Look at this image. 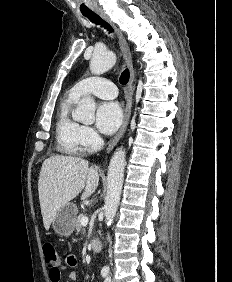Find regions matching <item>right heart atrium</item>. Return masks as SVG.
Instances as JSON below:
<instances>
[{
    "label": "right heart atrium",
    "instance_id": "1",
    "mask_svg": "<svg viewBox=\"0 0 232 282\" xmlns=\"http://www.w3.org/2000/svg\"><path fill=\"white\" fill-rule=\"evenodd\" d=\"M80 142L84 150L90 151L99 145L100 137L92 127L81 126Z\"/></svg>",
    "mask_w": 232,
    "mask_h": 282
}]
</instances>
